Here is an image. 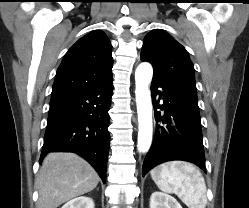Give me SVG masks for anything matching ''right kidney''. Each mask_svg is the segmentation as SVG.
I'll list each match as a JSON object with an SVG mask.
<instances>
[{"mask_svg":"<svg viewBox=\"0 0 249 208\" xmlns=\"http://www.w3.org/2000/svg\"><path fill=\"white\" fill-rule=\"evenodd\" d=\"M61 208H94V202L90 197L81 196L68 201Z\"/></svg>","mask_w":249,"mask_h":208,"instance_id":"1","label":"right kidney"}]
</instances>
